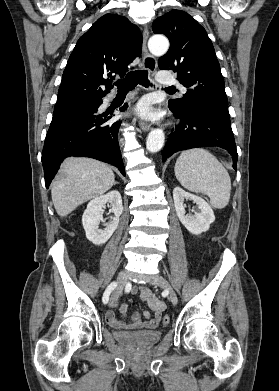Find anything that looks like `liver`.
Listing matches in <instances>:
<instances>
[{
	"label": "liver",
	"mask_w": 279,
	"mask_h": 391,
	"mask_svg": "<svg viewBox=\"0 0 279 391\" xmlns=\"http://www.w3.org/2000/svg\"><path fill=\"white\" fill-rule=\"evenodd\" d=\"M114 184L115 175L107 164L92 158H67L61 165L60 177L51 187L54 208L59 216L65 217Z\"/></svg>",
	"instance_id": "liver-1"
}]
</instances>
